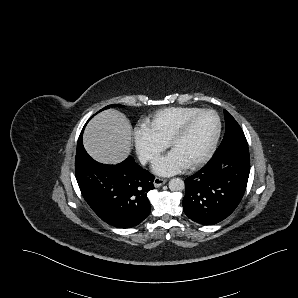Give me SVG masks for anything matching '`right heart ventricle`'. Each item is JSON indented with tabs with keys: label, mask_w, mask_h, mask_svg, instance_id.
Wrapping results in <instances>:
<instances>
[{
	"label": "right heart ventricle",
	"mask_w": 298,
	"mask_h": 298,
	"mask_svg": "<svg viewBox=\"0 0 298 298\" xmlns=\"http://www.w3.org/2000/svg\"><path fill=\"white\" fill-rule=\"evenodd\" d=\"M202 110L198 107H170L157 111L149 119L150 131L166 140L172 129L182 120Z\"/></svg>",
	"instance_id": "obj_1"
}]
</instances>
